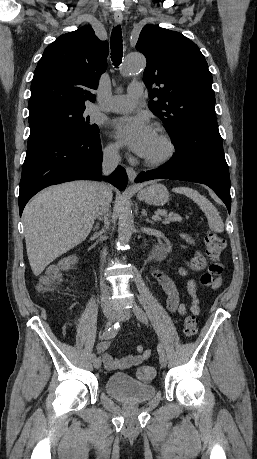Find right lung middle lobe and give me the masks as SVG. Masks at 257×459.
Wrapping results in <instances>:
<instances>
[{
    "label": "right lung middle lobe",
    "instance_id": "right-lung-middle-lobe-1",
    "mask_svg": "<svg viewBox=\"0 0 257 459\" xmlns=\"http://www.w3.org/2000/svg\"><path fill=\"white\" fill-rule=\"evenodd\" d=\"M85 107L50 106L31 111L30 128L51 127L72 135H93L99 132L96 124L83 115Z\"/></svg>",
    "mask_w": 257,
    "mask_h": 459
}]
</instances>
